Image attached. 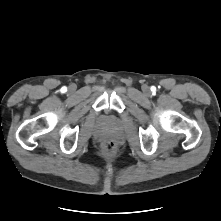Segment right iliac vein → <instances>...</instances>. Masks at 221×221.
Returning a JSON list of instances; mask_svg holds the SVG:
<instances>
[{
  "label": "right iliac vein",
  "mask_w": 221,
  "mask_h": 221,
  "mask_svg": "<svg viewBox=\"0 0 221 221\" xmlns=\"http://www.w3.org/2000/svg\"><path fill=\"white\" fill-rule=\"evenodd\" d=\"M70 90H73V87H70Z\"/></svg>",
  "instance_id": "right-iliac-vein-1"
}]
</instances>
